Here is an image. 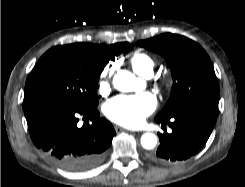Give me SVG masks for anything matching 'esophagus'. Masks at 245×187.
<instances>
[{
  "mask_svg": "<svg viewBox=\"0 0 245 187\" xmlns=\"http://www.w3.org/2000/svg\"><path fill=\"white\" fill-rule=\"evenodd\" d=\"M115 129L117 132L126 131V132L136 133V131H129V130H127L125 128H121V127H116Z\"/></svg>",
  "mask_w": 245,
  "mask_h": 187,
  "instance_id": "34e87169",
  "label": "esophagus"
}]
</instances>
